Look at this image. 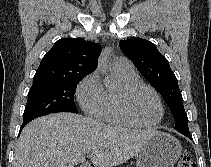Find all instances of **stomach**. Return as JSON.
Here are the masks:
<instances>
[{"mask_svg": "<svg viewBox=\"0 0 211 167\" xmlns=\"http://www.w3.org/2000/svg\"><path fill=\"white\" fill-rule=\"evenodd\" d=\"M182 153V146L168 133L155 131L136 155V167H173Z\"/></svg>", "mask_w": 211, "mask_h": 167, "instance_id": "0dacf381", "label": "stomach"}]
</instances>
